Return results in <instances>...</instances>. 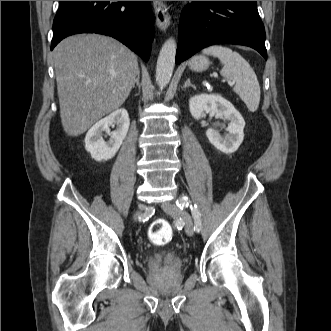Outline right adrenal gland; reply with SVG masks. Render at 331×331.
I'll use <instances>...</instances> for the list:
<instances>
[{"label":"right adrenal gland","mask_w":331,"mask_h":331,"mask_svg":"<svg viewBox=\"0 0 331 331\" xmlns=\"http://www.w3.org/2000/svg\"><path fill=\"white\" fill-rule=\"evenodd\" d=\"M139 79H140V74H137V78L135 79V81H134V84H133L132 88H134V87H135V84H136L137 86L139 85Z\"/></svg>","instance_id":"right-adrenal-gland-1"}]
</instances>
